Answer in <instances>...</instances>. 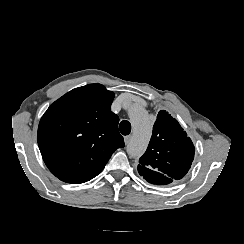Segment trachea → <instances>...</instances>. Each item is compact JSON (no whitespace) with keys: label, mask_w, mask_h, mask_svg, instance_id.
Returning <instances> with one entry per match:
<instances>
[{"label":"trachea","mask_w":244,"mask_h":244,"mask_svg":"<svg viewBox=\"0 0 244 244\" xmlns=\"http://www.w3.org/2000/svg\"><path fill=\"white\" fill-rule=\"evenodd\" d=\"M119 129L121 134L128 135L131 132V124L127 120H123L120 122Z\"/></svg>","instance_id":"1"}]
</instances>
